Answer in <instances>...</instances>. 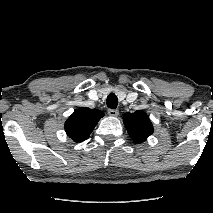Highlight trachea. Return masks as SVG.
<instances>
[{
  "label": "trachea",
  "mask_w": 213,
  "mask_h": 213,
  "mask_svg": "<svg viewBox=\"0 0 213 213\" xmlns=\"http://www.w3.org/2000/svg\"><path fill=\"white\" fill-rule=\"evenodd\" d=\"M107 106L111 109H116L118 105V98L114 93H110L107 97Z\"/></svg>",
  "instance_id": "trachea-1"
}]
</instances>
